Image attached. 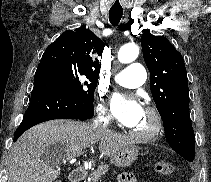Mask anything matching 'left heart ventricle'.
<instances>
[{
	"label": "left heart ventricle",
	"mask_w": 211,
	"mask_h": 182,
	"mask_svg": "<svg viewBox=\"0 0 211 182\" xmlns=\"http://www.w3.org/2000/svg\"><path fill=\"white\" fill-rule=\"evenodd\" d=\"M154 124L153 117L146 111H143L139 121L131 127L132 130L138 132H148Z\"/></svg>",
	"instance_id": "obj_1"
}]
</instances>
